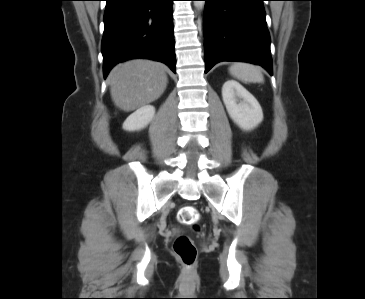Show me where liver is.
Here are the masks:
<instances>
[{
    "mask_svg": "<svg viewBox=\"0 0 365 299\" xmlns=\"http://www.w3.org/2000/svg\"><path fill=\"white\" fill-rule=\"evenodd\" d=\"M167 81L166 67L147 60L120 64L109 75L112 100L126 112L157 100L165 91Z\"/></svg>",
    "mask_w": 365,
    "mask_h": 299,
    "instance_id": "liver-1",
    "label": "liver"
}]
</instances>
